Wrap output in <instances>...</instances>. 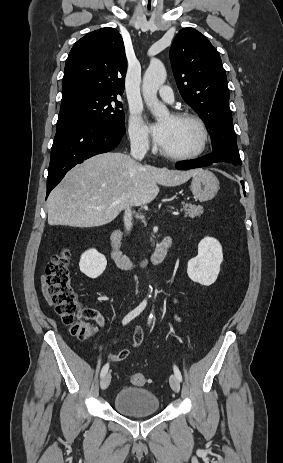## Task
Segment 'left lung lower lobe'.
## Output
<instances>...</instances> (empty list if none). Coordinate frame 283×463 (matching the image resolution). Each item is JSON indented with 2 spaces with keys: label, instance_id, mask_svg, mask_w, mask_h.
Returning <instances> with one entry per match:
<instances>
[{
  "label": "left lung lower lobe",
  "instance_id": "left-lung-lower-lobe-1",
  "mask_svg": "<svg viewBox=\"0 0 283 463\" xmlns=\"http://www.w3.org/2000/svg\"><path fill=\"white\" fill-rule=\"evenodd\" d=\"M215 162H228L232 163L234 165H241V163H238L231 158L227 157L224 154L217 153V152H212L204 157H201L199 159L193 160V161H182L178 162L176 164V168L180 170H188V169H193V168H199V167H204V166H209L212 163ZM241 184L244 187V182L241 181ZM245 193V191H244Z\"/></svg>",
  "mask_w": 283,
  "mask_h": 463
}]
</instances>
